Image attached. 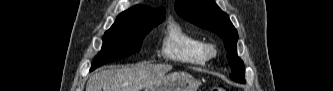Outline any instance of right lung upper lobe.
<instances>
[{
  "label": "right lung upper lobe",
  "mask_w": 333,
  "mask_h": 91,
  "mask_svg": "<svg viewBox=\"0 0 333 91\" xmlns=\"http://www.w3.org/2000/svg\"><path fill=\"white\" fill-rule=\"evenodd\" d=\"M164 14L165 10L163 8L154 10L147 6L137 5L119 14L114 25H119L131 21L165 18Z\"/></svg>",
  "instance_id": "right-lung-upper-lobe-1"
}]
</instances>
